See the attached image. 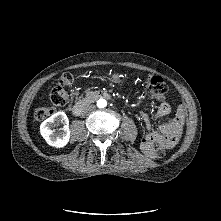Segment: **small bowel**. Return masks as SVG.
<instances>
[{"label": "small bowel", "instance_id": "1", "mask_svg": "<svg viewBox=\"0 0 221 221\" xmlns=\"http://www.w3.org/2000/svg\"><path fill=\"white\" fill-rule=\"evenodd\" d=\"M170 111V104L166 101H162L157 108L156 116L158 119H164ZM140 115L147 129V133L141 142V148L144 153L152 155L155 144H160L164 139H168L170 141V147L176 144L180 137L185 118V110L182 106L177 108L174 119L160 124L158 130H155L152 127V122L146 112L140 111Z\"/></svg>", "mask_w": 221, "mask_h": 221}]
</instances>
